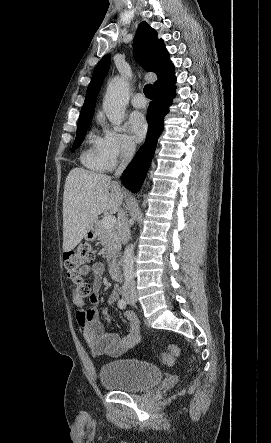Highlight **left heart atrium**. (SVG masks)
<instances>
[{
    "instance_id": "obj_1",
    "label": "left heart atrium",
    "mask_w": 271,
    "mask_h": 443,
    "mask_svg": "<svg viewBox=\"0 0 271 443\" xmlns=\"http://www.w3.org/2000/svg\"><path fill=\"white\" fill-rule=\"evenodd\" d=\"M129 126L134 140L136 142L143 141L148 132V125L144 115L140 112L131 113Z\"/></svg>"
}]
</instances>
